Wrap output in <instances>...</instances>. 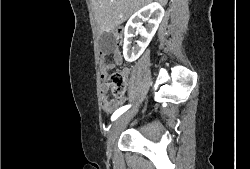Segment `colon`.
<instances>
[{"label": "colon", "instance_id": "1", "mask_svg": "<svg viewBox=\"0 0 250 169\" xmlns=\"http://www.w3.org/2000/svg\"><path fill=\"white\" fill-rule=\"evenodd\" d=\"M124 41V31L122 28L111 31L110 39L106 42V45H116L121 47ZM112 94L115 98H121L124 96L126 91V82L124 74L116 72L109 77Z\"/></svg>", "mask_w": 250, "mask_h": 169}]
</instances>
